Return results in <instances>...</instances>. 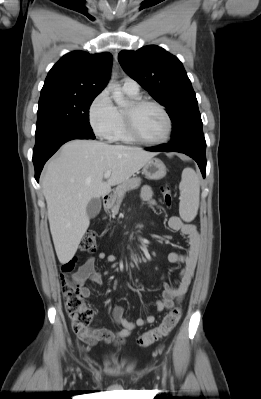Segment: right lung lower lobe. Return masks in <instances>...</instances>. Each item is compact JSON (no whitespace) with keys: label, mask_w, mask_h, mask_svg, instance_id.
Wrapping results in <instances>:
<instances>
[{"label":"right lung lower lobe","mask_w":261,"mask_h":399,"mask_svg":"<svg viewBox=\"0 0 261 399\" xmlns=\"http://www.w3.org/2000/svg\"><path fill=\"white\" fill-rule=\"evenodd\" d=\"M33 163L35 179L39 181L40 173L46 161L63 145L73 139H95L93 132L82 131L70 126H56L35 134Z\"/></svg>","instance_id":"98d812e1"}]
</instances>
